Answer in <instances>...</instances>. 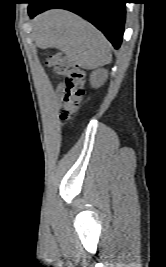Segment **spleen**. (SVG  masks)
<instances>
[{"label":"spleen","mask_w":166,"mask_h":267,"mask_svg":"<svg viewBox=\"0 0 166 267\" xmlns=\"http://www.w3.org/2000/svg\"><path fill=\"white\" fill-rule=\"evenodd\" d=\"M36 42L40 47L60 49L87 69L104 66L112 57L102 33L81 17L64 10H51L39 17Z\"/></svg>","instance_id":"obj_1"}]
</instances>
